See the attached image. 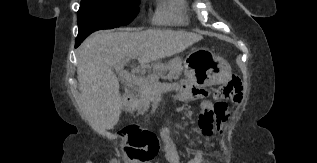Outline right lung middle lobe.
<instances>
[{
  "mask_svg": "<svg viewBox=\"0 0 317 163\" xmlns=\"http://www.w3.org/2000/svg\"><path fill=\"white\" fill-rule=\"evenodd\" d=\"M139 3V0H82L77 12L76 41L100 29L129 24L139 12Z\"/></svg>",
  "mask_w": 317,
  "mask_h": 163,
  "instance_id": "1",
  "label": "right lung middle lobe"
}]
</instances>
